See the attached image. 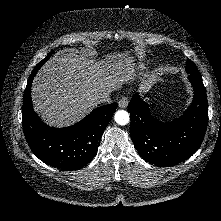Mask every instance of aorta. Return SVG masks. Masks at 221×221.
<instances>
[{"label":"aorta","mask_w":221,"mask_h":221,"mask_svg":"<svg viewBox=\"0 0 221 221\" xmlns=\"http://www.w3.org/2000/svg\"><path fill=\"white\" fill-rule=\"evenodd\" d=\"M114 119L117 124L126 125L130 120L129 113L125 110H118L114 115Z\"/></svg>","instance_id":"1"}]
</instances>
